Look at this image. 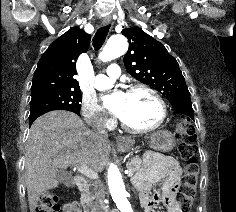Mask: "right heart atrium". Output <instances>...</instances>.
Returning <instances> with one entry per match:
<instances>
[{
    "mask_svg": "<svg viewBox=\"0 0 236 212\" xmlns=\"http://www.w3.org/2000/svg\"><path fill=\"white\" fill-rule=\"evenodd\" d=\"M81 112L86 123L93 128L103 129L111 126V119L104 112L95 97L85 96L83 98Z\"/></svg>",
    "mask_w": 236,
    "mask_h": 212,
    "instance_id": "right-heart-atrium-1",
    "label": "right heart atrium"
}]
</instances>
